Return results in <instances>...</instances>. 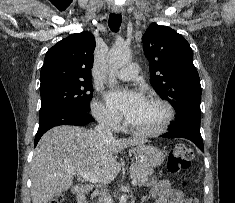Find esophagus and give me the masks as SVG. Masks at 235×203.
Returning a JSON list of instances; mask_svg holds the SVG:
<instances>
[{
  "mask_svg": "<svg viewBox=\"0 0 235 203\" xmlns=\"http://www.w3.org/2000/svg\"><path fill=\"white\" fill-rule=\"evenodd\" d=\"M112 12L115 14H124V10L121 7L116 6V5L112 6Z\"/></svg>",
  "mask_w": 235,
  "mask_h": 203,
  "instance_id": "obj_1",
  "label": "esophagus"
}]
</instances>
